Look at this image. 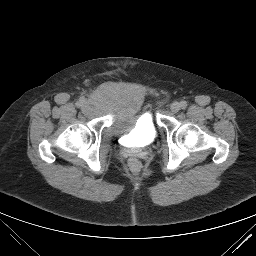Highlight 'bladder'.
Returning a JSON list of instances; mask_svg holds the SVG:
<instances>
[{
  "mask_svg": "<svg viewBox=\"0 0 256 256\" xmlns=\"http://www.w3.org/2000/svg\"><path fill=\"white\" fill-rule=\"evenodd\" d=\"M92 101L106 107L112 116L111 128L120 136H128L137 145H147L157 136L153 114L145 108V96L138 89L119 87L98 91Z\"/></svg>",
  "mask_w": 256,
  "mask_h": 256,
  "instance_id": "obj_1",
  "label": "bladder"
}]
</instances>
